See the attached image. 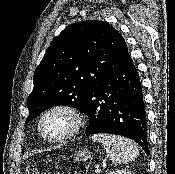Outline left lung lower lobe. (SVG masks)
<instances>
[{"label":"left lung lower lobe","instance_id":"left-lung-lower-lobe-1","mask_svg":"<svg viewBox=\"0 0 175 174\" xmlns=\"http://www.w3.org/2000/svg\"><path fill=\"white\" fill-rule=\"evenodd\" d=\"M83 112L89 116L86 134L121 135L134 140L149 154L142 86L127 48L90 91Z\"/></svg>","mask_w":175,"mask_h":174}]
</instances>
